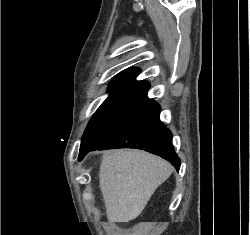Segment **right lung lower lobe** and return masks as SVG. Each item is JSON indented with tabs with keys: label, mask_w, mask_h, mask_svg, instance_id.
Returning <instances> with one entry per match:
<instances>
[{
	"label": "right lung lower lobe",
	"mask_w": 250,
	"mask_h": 235,
	"mask_svg": "<svg viewBox=\"0 0 250 235\" xmlns=\"http://www.w3.org/2000/svg\"><path fill=\"white\" fill-rule=\"evenodd\" d=\"M148 89L120 105L82 139L79 160L93 150L137 148L161 156L179 170L171 131L160 121V106L147 97Z\"/></svg>",
	"instance_id": "98d812e1"
}]
</instances>
